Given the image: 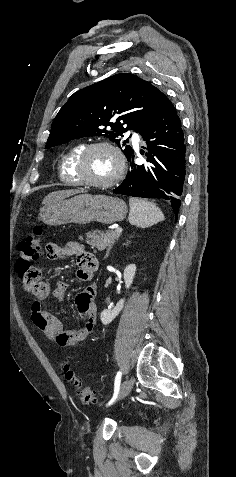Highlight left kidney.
<instances>
[{
	"mask_svg": "<svg viewBox=\"0 0 236 477\" xmlns=\"http://www.w3.org/2000/svg\"><path fill=\"white\" fill-rule=\"evenodd\" d=\"M135 272H136L135 264L128 265L124 270L123 275H124L125 287L127 289H129L131 284L133 283ZM124 302L125 300L121 299L119 300V302L116 304V306L113 309L103 310L100 315L101 322L104 325L111 323L115 319V317L120 313V311L123 309Z\"/></svg>",
	"mask_w": 236,
	"mask_h": 477,
	"instance_id": "obj_1",
	"label": "left kidney"
}]
</instances>
